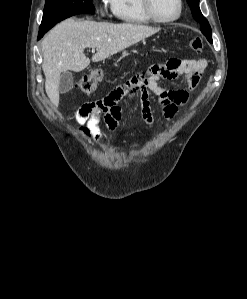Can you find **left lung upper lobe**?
<instances>
[{"label":"left lung upper lobe","mask_w":247,"mask_h":299,"mask_svg":"<svg viewBox=\"0 0 247 299\" xmlns=\"http://www.w3.org/2000/svg\"><path fill=\"white\" fill-rule=\"evenodd\" d=\"M192 15L196 21H198L201 25V31L206 36L207 40L212 43V32L211 27L207 21V19L202 15L200 8H199V0H187Z\"/></svg>","instance_id":"left-lung-upper-lobe-1"}]
</instances>
